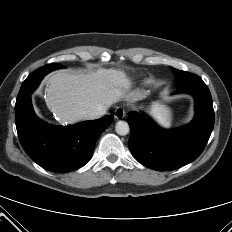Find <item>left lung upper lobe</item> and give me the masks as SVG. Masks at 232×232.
<instances>
[{
    "label": "left lung upper lobe",
    "instance_id": "left-lung-upper-lobe-1",
    "mask_svg": "<svg viewBox=\"0 0 232 232\" xmlns=\"http://www.w3.org/2000/svg\"><path fill=\"white\" fill-rule=\"evenodd\" d=\"M172 72L175 75V85L176 88L191 83L192 81L196 80L198 78V76L191 74L189 72H185V71H181L178 69H175L173 67H171Z\"/></svg>",
    "mask_w": 232,
    "mask_h": 232
}]
</instances>
